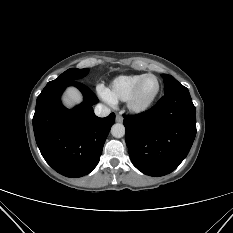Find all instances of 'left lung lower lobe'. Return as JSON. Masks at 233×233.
I'll return each instance as SVG.
<instances>
[{"label":"left lung lower lobe","mask_w":233,"mask_h":233,"mask_svg":"<svg viewBox=\"0 0 233 233\" xmlns=\"http://www.w3.org/2000/svg\"><path fill=\"white\" fill-rule=\"evenodd\" d=\"M124 118L131 161L149 176L175 170L196 135L195 106L188 89L165 94L150 110Z\"/></svg>","instance_id":"obj_1"}]
</instances>
